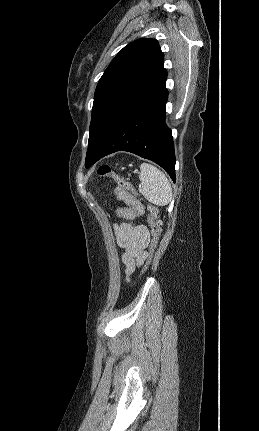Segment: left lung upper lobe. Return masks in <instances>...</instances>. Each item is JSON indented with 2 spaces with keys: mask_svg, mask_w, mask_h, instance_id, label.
<instances>
[{
  "mask_svg": "<svg viewBox=\"0 0 259 431\" xmlns=\"http://www.w3.org/2000/svg\"><path fill=\"white\" fill-rule=\"evenodd\" d=\"M164 54L156 39L126 45L100 78L94 94L85 165L121 118L166 77Z\"/></svg>",
  "mask_w": 259,
  "mask_h": 431,
  "instance_id": "5c2ea615",
  "label": "left lung upper lobe"
}]
</instances>
